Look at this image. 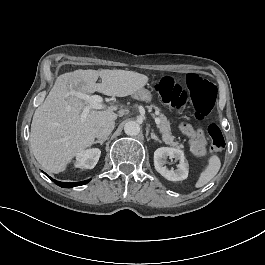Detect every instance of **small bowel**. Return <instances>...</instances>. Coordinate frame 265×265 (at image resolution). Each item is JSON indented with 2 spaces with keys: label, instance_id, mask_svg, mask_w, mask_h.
<instances>
[{
  "label": "small bowel",
  "instance_id": "small-bowel-1",
  "mask_svg": "<svg viewBox=\"0 0 265 265\" xmlns=\"http://www.w3.org/2000/svg\"><path fill=\"white\" fill-rule=\"evenodd\" d=\"M181 131L190 137V148L192 153L197 157H205L207 155V142L205 135L201 129H194L189 124H182Z\"/></svg>",
  "mask_w": 265,
  "mask_h": 265
}]
</instances>
